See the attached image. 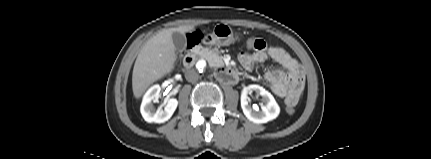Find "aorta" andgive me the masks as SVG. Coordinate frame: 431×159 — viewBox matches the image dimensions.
Segmentation results:
<instances>
[{
	"label": "aorta",
	"instance_id": "obj_1",
	"mask_svg": "<svg viewBox=\"0 0 431 159\" xmlns=\"http://www.w3.org/2000/svg\"><path fill=\"white\" fill-rule=\"evenodd\" d=\"M196 67L199 71H205L207 69V66L203 62H198L196 64Z\"/></svg>",
	"mask_w": 431,
	"mask_h": 159
}]
</instances>
